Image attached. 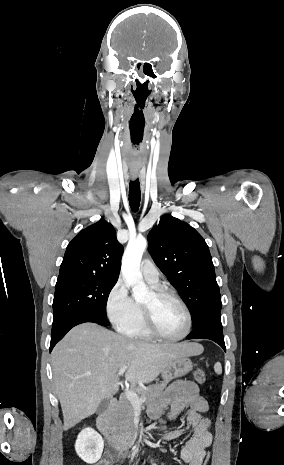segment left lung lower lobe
I'll list each match as a JSON object with an SVG mask.
<instances>
[{
	"label": "left lung lower lobe",
	"mask_w": 284,
	"mask_h": 465,
	"mask_svg": "<svg viewBox=\"0 0 284 465\" xmlns=\"http://www.w3.org/2000/svg\"><path fill=\"white\" fill-rule=\"evenodd\" d=\"M187 339H210L226 351L220 316H210L200 321Z\"/></svg>",
	"instance_id": "0a47b994"
}]
</instances>
